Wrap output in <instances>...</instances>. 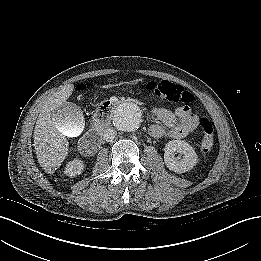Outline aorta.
I'll return each instance as SVG.
<instances>
[{"mask_svg":"<svg viewBox=\"0 0 261 261\" xmlns=\"http://www.w3.org/2000/svg\"><path fill=\"white\" fill-rule=\"evenodd\" d=\"M142 123V111L132 102L120 104L114 112L113 124L123 132L132 133L139 129Z\"/></svg>","mask_w":261,"mask_h":261,"instance_id":"obj_1","label":"aorta"}]
</instances>
